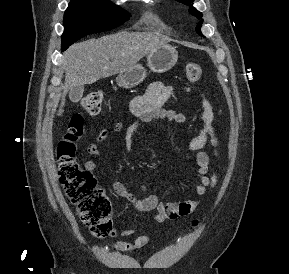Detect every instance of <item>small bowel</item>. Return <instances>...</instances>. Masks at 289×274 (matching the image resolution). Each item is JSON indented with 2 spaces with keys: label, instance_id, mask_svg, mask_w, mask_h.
Listing matches in <instances>:
<instances>
[{
  "label": "small bowel",
  "instance_id": "obj_1",
  "mask_svg": "<svg viewBox=\"0 0 289 274\" xmlns=\"http://www.w3.org/2000/svg\"><path fill=\"white\" fill-rule=\"evenodd\" d=\"M174 88L171 85L156 81L151 83L145 92L135 98L132 102V112L137 118V122L133 123L126 129L128 138L136 131L138 126L142 123H148L152 120L163 119L173 121L176 123H184L186 117L184 114L176 112L165 106L166 102L172 96ZM202 112L200 115L201 126L198 133L193 136L186 145V151L193 155L197 166L198 182L194 186V193L198 196L204 195L209 189L216 186L218 182V174L215 172L209 175L210 155L205 151V147L210 145L212 147V154L219 160V143L214 129V109L209 99L203 94H199ZM114 130L122 132L125 126L122 122L116 123ZM110 135L108 129L102 130L96 137L97 142L91 143L87 147V152L91 155H97L101 151L100 144L105 141ZM84 168L93 172L96 169L95 161L88 159L84 162ZM112 188L114 192L127 199L132 205L141 212H148L155 210L154 217L156 222L162 223L168 220H175L180 217H185L192 214L201 204L199 199H186L180 202L165 203L159 200L158 196L153 193H148L145 187L140 184L139 189L143 193V198L136 197L129 191L123 183L116 180L113 182ZM134 234L130 229L113 230L111 235L127 237ZM150 242L148 235H140L132 242L117 240L111 243V247L120 252H129L140 249Z\"/></svg>",
  "mask_w": 289,
  "mask_h": 274
}]
</instances>
